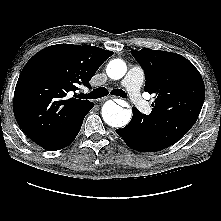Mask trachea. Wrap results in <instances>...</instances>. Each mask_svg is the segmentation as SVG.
I'll use <instances>...</instances> for the list:
<instances>
[{
	"label": "trachea",
	"mask_w": 221,
	"mask_h": 221,
	"mask_svg": "<svg viewBox=\"0 0 221 221\" xmlns=\"http://www.w3.org/2000/svg\"><path fill=\"white\" fill-rule=\"evenodd\" d=\"M106 95H108V90L105 87H99L97 89H94L92 92H90L89 94H87L83 97L90 98V99H97V98H102ZM111 95L120 96L122 98H126V96H127L125 91H123L121 89L112 90Z\"/></svg>",
	"instance_id": "1"
}]
</instances>
